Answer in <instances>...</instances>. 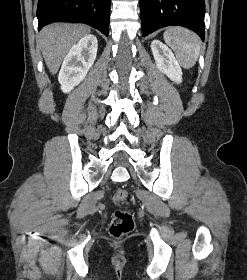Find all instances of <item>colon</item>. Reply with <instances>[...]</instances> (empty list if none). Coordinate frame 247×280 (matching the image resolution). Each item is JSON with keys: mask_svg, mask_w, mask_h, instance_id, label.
<instances>
[{"mask_svg": "<svg viewBox=\"0 0 247 280\" xmlns=\"http://www.w3.org/2000/svg\"><path fill=\"white\" fill-rule=\"evenodd\" d=\"M128 198L126 189L120 188L115 191L113 200L117 205H121ZM134 229V217L130 210L119 207L114 213L110 223L109 231L114 237H121L130 233Z\"/></svg>", "mask_w": 247, "mask_h": 280, "instance_id": "colon-1", "label": "colon"}]
</instances>
